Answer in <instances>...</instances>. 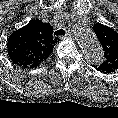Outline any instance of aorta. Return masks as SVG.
I'll use <instances>...</instances> for the list:
<instances>
[{"label":"aorta","instance_id":"1","mask_svg":"<svg viewBox=\"0 0 118 118\" xmlns=\"http://www.w3.org/2000/svg\"><path fill=\"white\" fill-rule=\"evenodd\" d=\"M74 30L86 59L91 63L101 64L104 61L103 50L91 28L79 22Z\"/></svg>","mask_w":118,"mask_h":118}]
</instances>
